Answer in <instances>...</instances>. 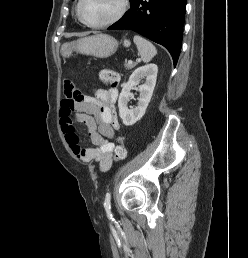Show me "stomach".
<instances>
[{"instance_id":"1","label":"stomach","mask_w":248,"mask_h":258,"mask_svg":"<svg viewBox=\"0 0 248 258\" xmlns=\"http://www.w3.org/2000/svg\"><path fill=\"white\" fill-rule=\"evenodd\" d=\"M118 45L119 43L114 37L107 34H96L71 43H64L60 53L64 58L70 57L73 51L98 58H107L116 52Z\"/></svg>"}]
</instances>
